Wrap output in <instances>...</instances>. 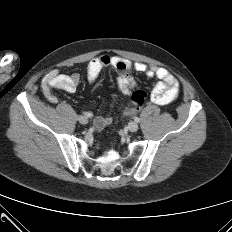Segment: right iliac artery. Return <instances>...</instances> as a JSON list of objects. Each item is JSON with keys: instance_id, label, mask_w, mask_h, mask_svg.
Returning a JSON list of instances; mask_svg holds the SVG:
<instances>
[{"instance_id": "82829eb1", "label": "right iliac artery", "mask_w": 232, "mask_h": 232, "mask_svg": "<svg viewBox=\"0 0 232 232\" xmlns=\"http://www.w3.org/2000/svg\"><path fill=\"white\" fill-rule=\"evenodd\" d=\"M83 114L85 117H92L93 116L92 113H89V112H84Z\"/></svg>"}]
</instances>
